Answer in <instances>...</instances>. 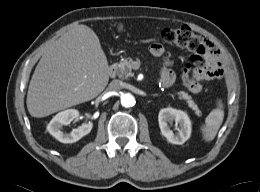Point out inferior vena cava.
I'll return each mask as SVG.
<instances>
[{
	"label": "inferior vena cava",
	"mask_w": 260,
	"mask_h": 192,
	"mask_svg": "<svg viewBox=\"0 0 260 192\" xmlns=\"http://www.w3.org/2000/svg\"><path fill=\"white\" fill-rule=\"evenodd\" d=\"M123 87V83L120 80H112L107 88L108 91H118Z\"/></svg>",
	"instance_id": "1"
}]
</instances>
